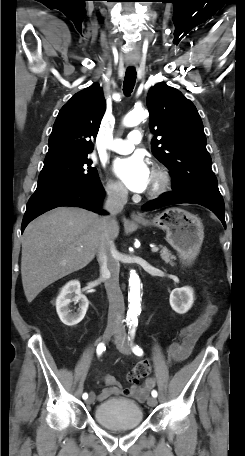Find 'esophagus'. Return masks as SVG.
<instances>
[{
	"label": "esophagus",
	"mask_w": 245,
	"mask_h": 456,
	"mask_svg": "<svg viewBox=\"0 0 245 456\" xmlns=\"http://www.w3.org/2000/svg\"><path fill=\"white\" fill-rule=\"evenodd\" d=\"M131 218H132L133 220H140V219H142L143 217H142L141 214H139V213H137V212H132V213H131Z\"/></svg>",
	"instance_id": "esophagus-1"
}]
</instances>
